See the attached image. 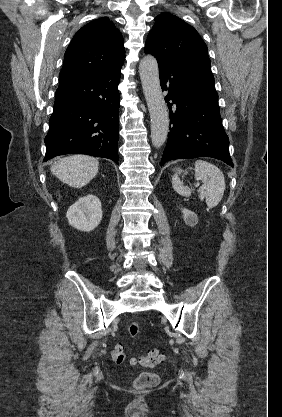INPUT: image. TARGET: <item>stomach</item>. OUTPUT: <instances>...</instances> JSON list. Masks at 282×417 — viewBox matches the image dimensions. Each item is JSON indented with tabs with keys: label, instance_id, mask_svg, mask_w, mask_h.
<instances>
[{
	"label": "stomach",
	"instance_id": "1",
	"mask_svg": "<svg viewBox=\"0 0 282 417\" xmlns=\"http://www.w3.org/2000/svg\"><path fill=\"white\" fill-rule=\"evenodd\" d=\"M178 172H182V170H178Z\"/></svg>",
	"mask_w": 282,
	"mask_h": 417
}]
</instances>
